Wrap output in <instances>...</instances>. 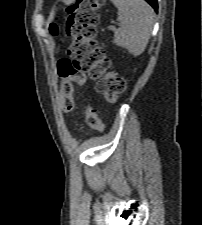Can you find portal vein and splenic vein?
<instances>
[{
	"mask_svg": "<svg viewBox=\"0 0 202 225\" xmlns=\"http://www.w3.org/2000/svg\"><path fill=\"white\" fill-rule=\"evenodd\" d=\"M110 30H114V27H111Z\"/></svg>",
	"mask_w": 202,
	"mask_h": 225,
	"instance_id": "18ae733b",
	"label": "portal vein and splenic vein"
}]
</instances>
